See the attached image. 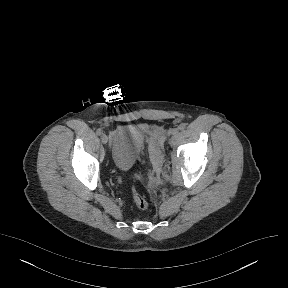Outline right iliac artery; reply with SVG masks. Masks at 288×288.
Returning <instances> with one entry per match:
<instances>
[{
	"mask_svg": "<svg viewBox=\"0 0 288 288\" xmlns=\"http://www.w3.org/2000/svg\"><path fill=\"white\" fill-rule=\"evenodd\" d=\"M96 133H97V135H102L103 131L101 129H97Z\"/></svg>",
	"mask_w": 288,
	"mask_h": 288,
	"instance_id": "1",
	"label": "right iliac artery"
}]
</instances>
